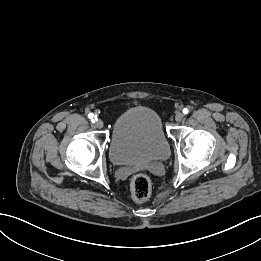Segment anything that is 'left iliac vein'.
I'll return each instance as SVG.
<instances>
[{
    "instance_id": "left-iliac-vein-1",
    "label": "left iliac vein",
    "mask_w": 261,
    "mask_h": 261,
    "mask_svg": "<svg viewBox=\"0 0 261 261\" xmlns=\"http://www.w3.org/2000/svg\"><path fill=\"white\" fill-rule=\"evenodd\" d=\"M183 118H184V114L181 113V112H178V113L175 115V120H176L177 122H181V121L183 120Z\"/></svg>"
}]
</instances>
